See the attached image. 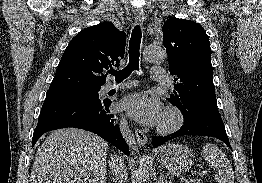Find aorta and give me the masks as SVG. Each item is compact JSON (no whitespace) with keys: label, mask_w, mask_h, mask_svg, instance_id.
Returning a JSON list of instances; mask_svg holds the SVG:
<instances>
[{"label":"aorta","mask_w":262,"mask_h":183,"mask_svg":"<svg viewBox=\"0 0 262 183\" xmlns=\"http://www.w3.org/2000/svg\"><path fill=\"white\" fill-rule=\"evenodd\" d=\"M143 55H144V59L151 63H161L167 57L165 50L162 47H158L155 45H148L145 48ZM119 125H120V131L124 139L126 140L128 146L134 151L138 152V147L136 146L134 135L130 130L125 117L122 116ZM146 176H147V167L142 160H139L138 177H137L138 183H145Z\"/></svg>","instance_id":"aorta-1"}]
</instances>
